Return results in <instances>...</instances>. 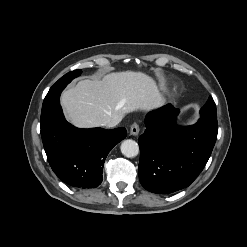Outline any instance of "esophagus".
<instances>
[{"label": "esophagus", "mask_w": 247, "mask_h": 247, "mask_svg": "<svg viewBox=\"0 0 247 247\" xmlns=\"http://www.w3.org/2000/svg\"><path fill=\"white\" fill-rule=\"evenodd\" d=\"M140 128L138 123L134 122L130 127V134L133 136H137L139 134Z\"/></svg>", "instance_id": "34e87169"}]
</instances>
